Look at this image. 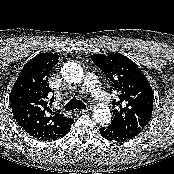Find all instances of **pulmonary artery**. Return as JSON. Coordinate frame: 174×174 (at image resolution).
<instances>
[{"label":"pulmonary artery","instance_id":"pulmonary-artery-1","mask_svg":"<svg viewBox=\"0 0 174 174\" xmlns=\"http://www.w3.org/2000/svg\"><path fill=\"white\" fill-rule=\"evenodd\" d=\"M83 90L89 91L96 100L102 103H107L108 101L107 95L101 89L98 79L93 74H87Z\"/></svg>","mask_w":174,"mask_h":174}]
</instances>
